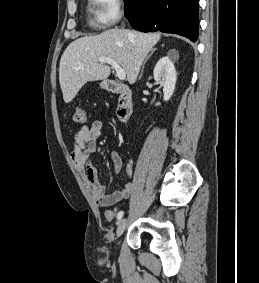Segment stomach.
Segmentation results:
<instances>
[{
    "label": "stomach",
    "mask_w": 259,
    "mask_h": 283,
    "mask_svg": "<svg viewBox=\"0 0 259 283\" xmlns=\"http://www.w3.org/2000/svg\"><path fill=\"white\" fill-rule=\"evenodd\" d=\"M100 86H101V88H104V87H106V83L102 82V83H100Z\"/></svg>",
    "instance_id": "stomach-1"
}]
</instances>
